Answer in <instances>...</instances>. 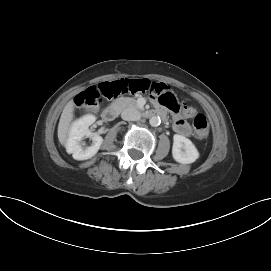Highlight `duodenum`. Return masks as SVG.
Masks as SVG:
<instances>
[{
    "label": "duodenum",
    "mask_w": 271,
    "mask_h": 271,
    "mask_svg": "<svg viewBox=\"0 0 271 271\" xmlns=\"http://www.w3.org/2000/svg\"><path fill=\"white\" fill-rule=\"evenodd\" d=\"M118 114V107L116 105H111L106 107L102 113L101 116L105 121H112L116 118ZM143 116L144 117H153V116H161L164 117V111L162 109H158V110H146L143 111Z\"/></svg>",
    "instance_id": "duodenum-1"
}]
</instances>
